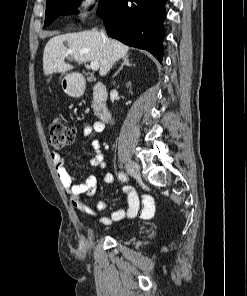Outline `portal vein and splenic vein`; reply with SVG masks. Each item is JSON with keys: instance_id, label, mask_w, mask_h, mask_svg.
<instances>
[{"instance_id": "1", "label": "portal vein and splenic vein", "mask_w": 247, "mask_h": 296, "mask_svg": "<svg viewBox=\"0 0 247 296\" xmlns=\"http://www.w3.org/2000/svg\"><path fill=\"white\" fill-rule=\"evenodd\" d=\"M90 68L94 71L99 69V64L97 62H91L90 63Z\"/></svg>"}]
</instances>
